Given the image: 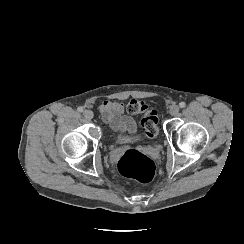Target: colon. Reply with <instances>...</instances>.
I'll list each match as a JSON object with an SVG mask.
<instances>
[{
    "label": "colon",
    "mask_w": 244,
    "mask_h": 244,
    "mask_svg": "<svg viewBox=\"0 0 244 244\" xmlns=\"http://www.w3.org/2000/svg\"><path fill=\"white\" fill-rule=\"evenodd\" d=\"M130 114L142 116L141 126L148 141L153 142L158 133V114L143 101H131L127 108ZM121 175L136 178L141 183L151 182L155 174V163L147 155L131 150L125 152L118 164Z\"/></svg>",
    "instance_id": "obj_1"
}]
</instances>
